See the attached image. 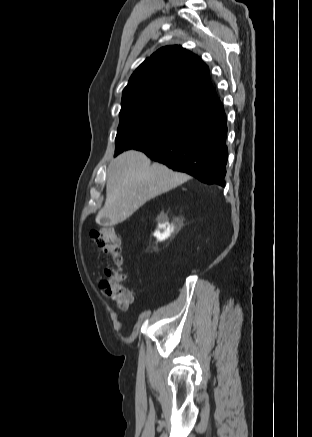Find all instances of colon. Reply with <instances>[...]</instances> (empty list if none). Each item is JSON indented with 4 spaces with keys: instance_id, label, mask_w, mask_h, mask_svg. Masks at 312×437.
Returning <instances> with one entry per match:
<instances>
[{
    "instance_id": "obj_1",
    "label": "colon",
    "mask_w": 312,
    "mask_h": 437,
    "mask_svg": "<svg viewBox=\"0 0 312 437\" xmlns=\"http://www.w3.org/2000/svg\"><path fill=\"white\" fill-rule=\"evenodd\" d=\"M90 236L114 265L104 269L105 277L101 280L100 287L119 308L126 309L131 302V293L123 284L124 275L120 272L123 261L120 237L112 227L92 230Z\"/></svg>"
}]
</instances>
